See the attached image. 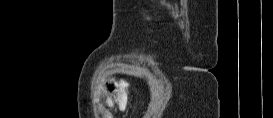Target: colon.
<instances>
[{"instance_id": "colon-1", "label": "colon", "mask_w": 273, "mask_h": 118, "mask_svg": "<svg viewBox=\"0 0 273 118\" xmlns=\"http://www.w3.org/2000/svg\"><path fill=\"white\" fill-rule=\"evenodd\" d=\"M107 105L117 104L120 109L128 108L129 95L126 82L109 80L105 84Z\"/></svg>"}]
</instances>
